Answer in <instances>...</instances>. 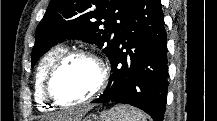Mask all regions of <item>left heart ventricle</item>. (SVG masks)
<instances>
[{
  "instance_id": "b2bd125f",
  "label": "left heart ventricle",
  "mask_w": 217,
  "mask_h": 121,
  "mask_svg": "<svg viewBox=\"0 0 217 121\" xmlns=\"http://www.w3.org/2000/svg\"><path fill=\"white\" fill-rule=\"evenodd\" d=\"M99 79L97 65L90 59L78 57L70 60L56 74L52 90L64 102H78L94 90Z\"/></svg>"
}]
</instances>
